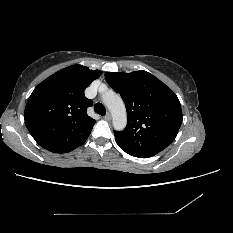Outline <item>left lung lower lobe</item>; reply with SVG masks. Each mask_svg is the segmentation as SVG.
Masks as SVG:
<instances>
[{"instance_id":"0a47b994","label":"left lung lower lobe","mask_w":233,"mask_h":233,"mask_svg":"<svg viewBox=\"0 0 233 233\" xmlns=\"http://www.w3.org/2000/svg\"><path fill=\"white\" fill-rule=\"evenodd\" d=\"M122 148V147H121ZM123 149V148H122ZM126 153H128V154H130V155H132V156H135V157H140V158H145V157H143V156H138V155H135L134 153H132L131 151H128V150H125V149H123Z\"/></svg>"}]
</instances>
